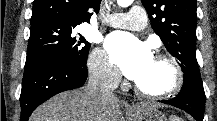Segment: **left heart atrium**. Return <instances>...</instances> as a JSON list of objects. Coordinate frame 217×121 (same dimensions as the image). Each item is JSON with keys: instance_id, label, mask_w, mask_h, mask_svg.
<instances>
[{"instance_id": "left-heart-atrium-1", "label": "left heart atrium", "mask_w": 217, "mask_h": 121, "mask_svg": "<svg viewBox=\"0 0 217 121\" xmlns=\"http://www.w3.org/2000/svg\"><path fill=\"white\" fill-rule=\"evenodd\" d=\"M105 48L122 73L137 80L153 57L148 46L125 32H113L105 41Z\"/></svg>"}]
</instances>
